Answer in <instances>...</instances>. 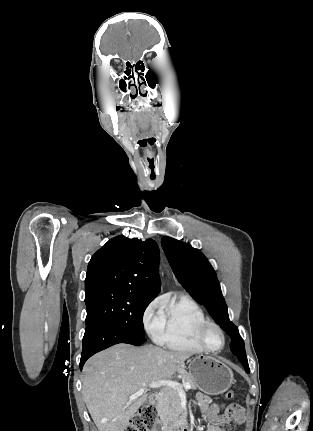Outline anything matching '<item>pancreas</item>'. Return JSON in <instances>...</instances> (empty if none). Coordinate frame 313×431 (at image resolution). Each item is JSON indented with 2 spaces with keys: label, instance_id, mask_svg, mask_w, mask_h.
Wrapping results in <instances>:
<instances>
[{
  "label": "pancreas",
  "instance_id": "pancreas-1",
  "mask_svg": "<svg viewBox=\"0 0 313 431\" xmlns=\"http://www.w3.org/2000/svg\"><path fill=\"white\" fill-rule=\"evenodd\" d=\"M183 383H189L191 389H197V384L194 379L186 372L182 373ZM156 410L158 415L166 425L174 427L184 420L183 408L181 399L177 390L172 388H164L157 397Z\"/></svg>",
  "mask_w": 313,
  "mask_h": 431
}]
</instances>
